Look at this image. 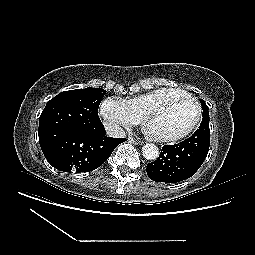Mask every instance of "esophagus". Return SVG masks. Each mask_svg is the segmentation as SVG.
Masks as SVG:
<instances>
[{
    "label": "esophagus",
    "mask_w": 255,
    "mask_h": 255,
    "mask_svg": "<svg viewBox=\"0 0 255 255\" xmlns=\"http://www.w3.org/2000/svg\"><path fill=\"white\" fill-rule=\"evenodd\" d=\"M128 139H129L130 142H132V143H134V144H136V145H142V144H143L142 141L137 140V139H135V138H133V137H129Z\"/></svg>",
    "instance_id": "34e87169"
}]
</instances>
